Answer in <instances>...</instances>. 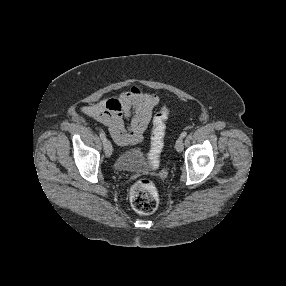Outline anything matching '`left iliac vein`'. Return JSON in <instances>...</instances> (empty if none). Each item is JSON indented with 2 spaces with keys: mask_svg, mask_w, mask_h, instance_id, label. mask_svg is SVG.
<instances>
[{
  "mask_svg": "<svg viewBox=\"0 0 286 286\" xmlns=\"http://www.w3.org/2000/svg\"><path fill=\"white\" fill-rule=\"evenodd\" d=\"M175 148H176L177 152H182L183 151L184 142H183V138L182 137H179L177 139L176 144H175Z\"/></svg>",
  "mask_w": 286,
  "mask_h": 286,
  "instance_id": "1",
  "label": "left iliac vein"
}]
</instances>
